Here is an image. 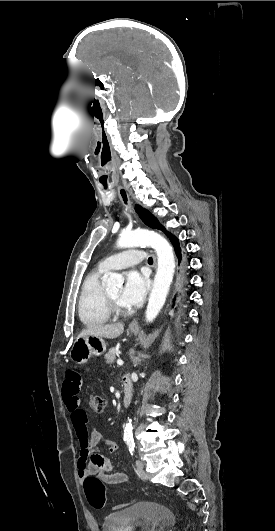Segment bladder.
<instances>
[{
	"mask_svg": "<svg viewBox=\"0 0 275 531\" xmlns=\"http://www.w3.org/2000/svg\"><path fill=\"white\" fill-rule=\"evenodd\" d=\"M173 522L169 506L142 501L107 514L102 522V531H170Z\"/></svg>",
	"mask_w": 275,
	"mask_h": 531,
	"instance_id": "31cf9c89",
	"label": "bladder"
}]
</instances>
